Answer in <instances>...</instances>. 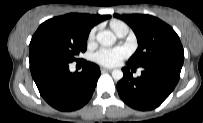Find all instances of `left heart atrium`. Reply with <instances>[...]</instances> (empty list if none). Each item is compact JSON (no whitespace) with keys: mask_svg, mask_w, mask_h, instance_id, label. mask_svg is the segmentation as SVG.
Masks as SVG:
<instances>
[{"mask_svg":"<svg viewBox=\"0 0 203 123\" xmlns=\"http://www.w3.org/2000/svg\"><path fill=\"white\" fill-rule=\"evenodd\" d=\"M129 54L125 47L102 48L94 54V60L98 64L106 67L118 65Z\"/></svg>","mask_w":203,"mask_h":123,"instance_id":"left-heart-atrium-1","label":"left heart atrium"}]
</instances>
